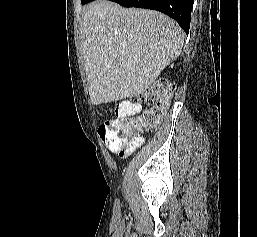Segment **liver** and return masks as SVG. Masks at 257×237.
Masks as SVG:
<instances>
[{
    "instance_id": "liver-1",
    "label": "liver",
    "mask_w": 257,
    "mask_h": 237,
    "mask_svg": "<svg viewBox=\"0 0 257 237\" xmlns=\"http://www.w3.org/2000/svg\"><path fill=\"white\" fill-rule=\"evenodd\" d=\"M80 32L89 93L97 105L146 92L184 44L181 28L166 15L106 0L88 8Z\"/></svg>"
}]
</instances>
